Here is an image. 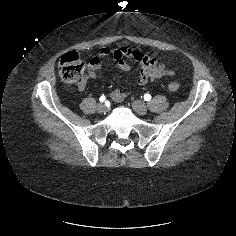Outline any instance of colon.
<instances>
[{
    "label": "colon",
    "instance_id": "colon-1",
    "mask_svg": "<svg viewBox=\"0 0 236 236\" xmlns=\"http://www.w3.org/2000/svg\"><path fill=\"white\" fill-rule=\"evenodd\" d=\"M58 71L65 82L76 85L84 84L88 75L86 63L75 51L67 52L61 57ZM168 87L171 91H176L180 85L177 82H171Z\"/></svg>",
    "mask_w": 236,
    "mask_h": 236
}]
</instances>
